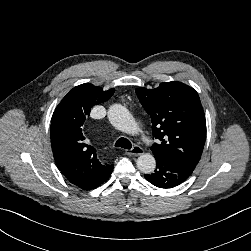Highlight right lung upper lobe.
<instances>
[{
	"mask_svg": "<svg viewBox=\"0 0 251 251\" xmlns=\"http://www.w3.org/2000/svg\"><path fill=\"white\" fill-rule=\"evenodd\" d=\"M114 89L103 91L90 83L70 90L56 107L51 120V146L56 164L74 185L85 188L111 166L97 159L96 149L88 145L83 124L94 105L108 100Z\"/></svg>",
	"mask_w": 251,
	"mask_h": 251,
	"instance_id": "right-lung-upper-lobe-1",
	"label": "right lung upper lobe"
}]
</instances>
